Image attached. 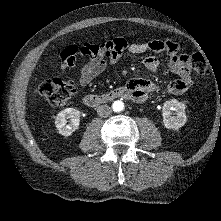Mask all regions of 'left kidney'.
I'll return each mask as SVG.
<instances>
[{"mask_svg": "<svg viewBox=\"0 0 221 221\" xmlns=\"http://www.w3.org/2000/svg\"><path fill=\"white\" fill-rule=\"evenodd\" d=\"M162 111L163 124L167 129L178 130L187 121L185 105L176 99L166 101L162 107ZM171 111H175L176 116H171Z\"/></svg>", "mask_w": 221, "mask_h": 221, "instance_id": "left-kidney-1", "label": "left kidney"}]
</instances>
